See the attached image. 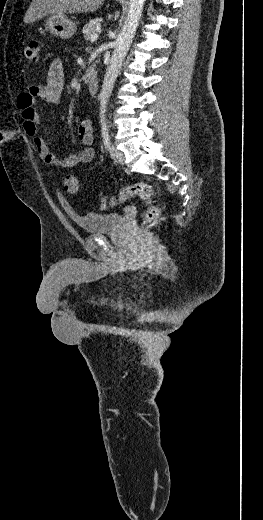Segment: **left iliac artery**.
<instances>
[{"label": "left iliac artery", "instance_id": "left-iliac-artery-1", "mask_svg": "<svg viewBox=\"0 0 263 520\" xmlns=\"http://www.w3.org/2000/svg\"><path fill=\"white\" fill-rule=\"evenodd\" d=\"M101 132H102L104 146H105V148L107 150H109L111 142H110V135H109L108 125H107V122L105 120L101 121Z\"/></svg>", "mask_w": 263, "mask_h": 520}]
</instances>
